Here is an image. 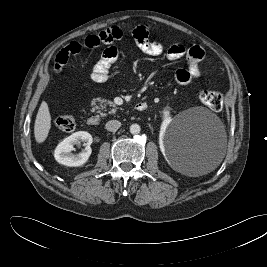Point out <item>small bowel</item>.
Wrapping results in <instances>:
<instances>
[{"label":"small bowel","instance_id":"1","mask_svg":"<svg viewBox=\"0 0 267 267\" xmlns=\"http://www.w3.org/2000/svg\"><path fill=\"white\" fill-rule=\"evenodd\" d=\"M123 30L120 27H110L102 30L98 34L86 37L82 42H71L64 47L55 58V70L61 71L71 57L79 54L83 49L95 50L100 45L105 44L101 57L93 67L91 77L95 82L107 80L111 66L117 61L118 49L113 45L123 37ZM133 38L137 47L147 55L157 56L163 52V46L158 42H152L148 38V27L139 25L133 30ZM204 57L203 49L198 46L189 48L180 44L172 45L167 51L169 60L184 58L186 67L175 72V80L180 85H187L200 76L199 62Z\"/></svg>","mask_w":267,"mask_h":267}]
</instances>
